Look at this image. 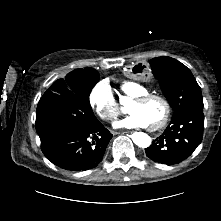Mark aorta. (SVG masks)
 <instances>
[{
    "mask_svg": "<svg viewBox=\"0 0 221 221\" xmlns=\"http://www.w3.org/2000/svg\"><path fill=\"white\" fill-rule=\"evenodd\" d=\"M131 137L138 147L147 148L151 145V137L144 132H134Z\"/></svg>",
    "mask_w": 221,
    "mask_h": 221,
    "instance_id": "obj_1",
    "label": "aorta"
}]
</instances>
